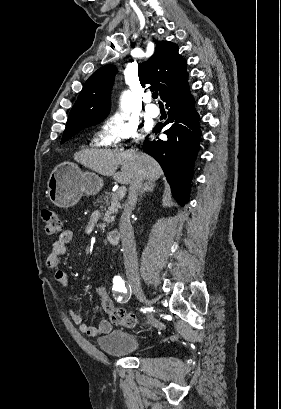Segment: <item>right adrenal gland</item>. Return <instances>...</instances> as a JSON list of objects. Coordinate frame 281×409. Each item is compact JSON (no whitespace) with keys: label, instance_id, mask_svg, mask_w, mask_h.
Listing matches in <instances>:
<instances>
[{"label":"right adrenal gland","instance_id":"1","mask_svg":"<svg viewBox=\"0 0 281 409\" xmlns=\"http://www.w3.org/2000/svg\"><path fill=\"white\" fill-rule=\"evenodd\" d=\"M156 186V182L155 180H146V182H144L141 190H140V194L139 196H142V194H144V192H152V190H154Z\"/></svg>","mask_w":281,"mask_h":409}]
</instances>
